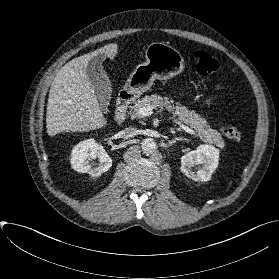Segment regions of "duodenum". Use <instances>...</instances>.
I'll list each match as a JSON object with an SVG mask.
<instances>
[{
	"mask_svg": "<svg viewBox=\"0 0 279 279\" xmlns=\"http://www.w3.org/2000/svg\"><path fill=\"white\" fill-rule=\"evenodd\" d=\"M133 95L128 91H122L117 99L116 115L117 121H123L128 110L129 105L133 101Z\"/></svg>",
	"mask_w": 279,
	"mask_h": 279,
	"instance_id": "1",
	"label": "duodenum"
}]
</instances>
